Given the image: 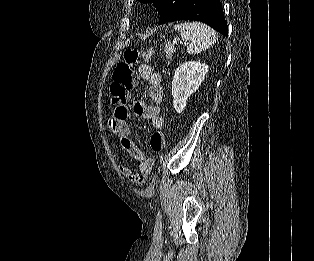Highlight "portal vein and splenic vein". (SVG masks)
Here are the masks:
<instances>
[{
	"label": "portal vein and splenic vein",
	"mask_w": 314,
	"mask_h": 261,
	"mask_svg": "<svg viewBox=\"0 0 314 261\" xmlns=\"http://www.w3.org/2000/svg\"><path fill=\"white\" fill-rule=\"evenodd\" d=\"M173 43H174V44H176V43H177V41L175 40Z\"/></svg>",
	"instance_id": "18ae733b"
}]
</instances>
